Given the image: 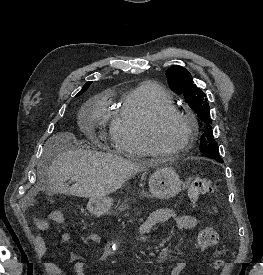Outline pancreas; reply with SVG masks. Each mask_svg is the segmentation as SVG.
Wrapping results in <instances>:
<instances>
[{
	"label": "pancreas",
	"instance_id": "1",
	"mask_svg": "<svg viewBox=\"0 0 263 275\" xmlns=\"http://www.w3.org/2000/svg\"><path fill=\"white\" fill-rule=\"evenodd\" d=\"M126 209H129V206L127 203L121 204L120 207L118 208V210H120V211H124ZM124 216H126V217L129 216V213H125Z\"/></svg>",
	"mask_w": 263,
	"mask_h": 275
}]
</instances>
